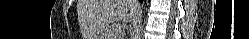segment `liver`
I'll use <instances>...</instances> for the list:
<instances>
[{
    "instance_id": "6515ba94",
    "label": "liver",
    "mask_w": 249,
    "mask_h": 39,
    "mask_svg": "<svg viewBox=\"0 0 249 39\" xmlns=\"http://www.w3.org/2000/svg\"><path fill=\"white\" fill-rule=\"evenodd\" d=\"M135 8L134 0H80L78 14L85 39H93L109 23L130 21Z\"/></svg>"
}]
</instances>
